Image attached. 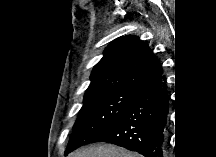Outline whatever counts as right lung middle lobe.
<instances>
[{
  "label": "right lung middle lobe",
  "mask_w": 216,
  "mask_h": 157,
  "mask_svg": "<svg viewBox=\"0 0 216 157\" xmlns=\"http://www.w3.org/2000/svg\"><path fill=\"white\" fill-rule=\"evenodd\" d=\"M132 93V89H115L84 98L65 154L92 143L109 129L124 112Z\"/></svg>",
  "instance_id": "right-lung-middle-lobe-1"
}]
</instances>
